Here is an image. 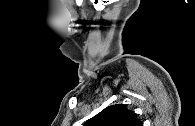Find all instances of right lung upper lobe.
Instances as JSON below:
<instances>
[{
  "instance_id": "cb5924a9",
  "label": "right lung upper lobe",
  "mask_w": 195,
  "mask_h": 126,
  "mask_svg": "<svg viewBox=\"0 0 195 126\" xmlns=\"http://www.w3.org/2000/svg\"><path fill=\"white\" fill-rule=\"evenodd\" d=\"M85 126H142L136 114L123 104L111 105L86 121Z\"/></svg>"
}]
</instances>
